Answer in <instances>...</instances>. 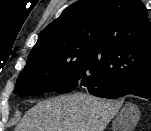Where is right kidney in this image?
Returning <instances> with one entry per match:
<instances>
[{
    "label": "right kidney",
    "instance_id": "right-kidney-1",
    "mask_svg": "<svg viewBox=\"0 0 151 131\" xmlns=\"http://www.w3.org/2000/svg\"><path fill=\"white\" fill-rule=\"evenodd\" d=\"M130 124H131V122H130ZM114 125H115V128H121L122 125H123V122H122V120H117V121L114 123ZM116 126H117V127H116Z\"/></svg>",
    "mask_w": 151,
    "mask_h": 131
}]
</instances>
